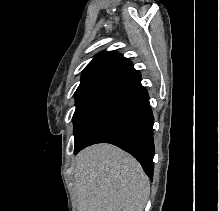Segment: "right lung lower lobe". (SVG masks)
I'll list each match as a JSON object with an SVG mask.
<instances>
[{
	"instance_id": "1",
	"label": "right lung lower lobe",
	"mask_w": 219,
	"mask_h": 211,
	"mask_svg": "<svg viewBox=\"0 0 219 211\" xmlns=\"http://www.w3.org/2000/svg\"><path fill=\"white\" fill-rule=\"evenodd\" d=\"M137 71L109 91L74 143V153L96 143H111L133 155L153 177V114Z\"/></svg>"
}]
</instances>
